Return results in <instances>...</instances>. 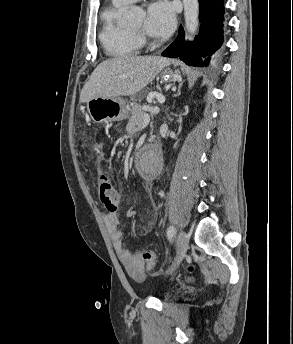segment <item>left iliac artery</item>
I'll use <instances>...</instances> for the list:
<instances>
[{"mask_svg":"<svg viewBox=\"0 0 293 344\" xmlns=\"http://www.w3.org/2000/svg\"><path fill=\"white\" fill-rule=\"evenodd\" d=\"M175 231H176V229H175V227H173V226H170V227L168 228L167 236H168L169 240H172V238H173V236H174V234H175Z\"/></svg>","mask_w":293,"mask_h":344,"instance_id":"left-iliac-artery-1","label":"left iliac artery"}]
</instances>
